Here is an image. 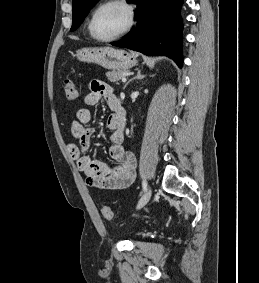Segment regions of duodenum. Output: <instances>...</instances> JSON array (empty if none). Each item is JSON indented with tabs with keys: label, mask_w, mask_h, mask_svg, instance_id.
<instances>
[{
	"label": "duodenum",
	"mask_w": 259,
	"mask_h": 283,
	"mask_svg": "<svg viewBox=\"0 0 259 283\" xmlns=\"http://www.w3.org/2000/svg\"><path fill=\"white\" fill-rule=\"evenodd\" d=\"M116 112H117V114L120 118L124 119L125 112H124V109L122 108L121 104L116 109Z\"/></svg>",
	"instance_id": "410a0bca"
}]
</instances>
